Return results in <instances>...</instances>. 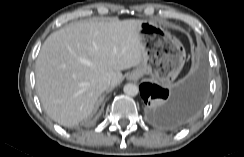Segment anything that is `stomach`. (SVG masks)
<instances>
[{"label":"stomach","instance_id":"obj_1","mask_svg":"<svg viewBox=\"0 0 244 157\" xmlns=\"http://www.w3.org/2000/svg\"><path fill=\"white\" fill-rule=\"evenodd\" d=\"M144 47L142 60L134 70L158 84H168L182 70L186 52L183 44L156 20L143 21L139 31Z\"/></svg>","mask_w":244,"mask_h":157}]
</instances>
